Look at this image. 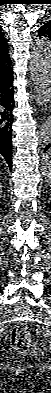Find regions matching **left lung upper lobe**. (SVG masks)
Here are the masks:
<instances>
[{
  "mask_svg": "<svg viewBox=\"0 0 51 393\" xmlns=\"http://www.w3.org/2000/svg\"><path fill=\"white\" fill-rule=\"evenodd\" d=\"M38 35L48 37L51 40V21L44 23L39 28Z\"/></svg>",
  "mask_w": 51,
  "mask_h": 393,
  "instance_id": "5c2ea615",
  "label": "left lung upper lobe"
}]
</instances>
